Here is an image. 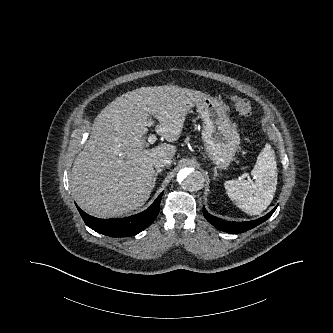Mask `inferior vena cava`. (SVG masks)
<instances>
[{
	"label": "inferior vena cava",
	"instance_id": "602c4592",
	"mask_svg": "<svg viewBox=\"0 0 333 333\" xmlns=\"http://www.w3.org/2000/svg\"><path fill=\"white\" fill-rule=\"evenodd\" d=\"M171 164V158L169 157H158L153 160V165L156 168L167 167Z\"/></svg>",
	"mask_w": 333,
	"mask_h": 333
}]
</instances>
